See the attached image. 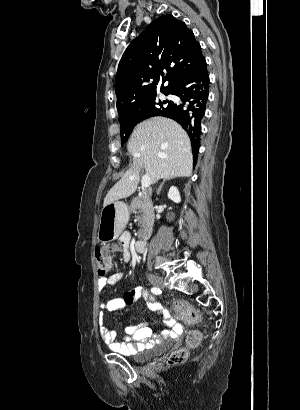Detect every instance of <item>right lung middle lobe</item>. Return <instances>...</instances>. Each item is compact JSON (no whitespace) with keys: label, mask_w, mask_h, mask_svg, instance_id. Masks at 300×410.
Wrapping results in <instances>:
<instances>
[{"label":"right lung middle lobe","mask_w":300,"mask_h":410,"mask_svg":"<svg viewBox=\"0 0 300 410\" xmlns=\"http://www.w3.org/2000/svg\"><path fill=\"white\" fill-rule=\"evenodd\" d=\"M162 93L167 95L171 94V91H163ZM155 97L156 94L149 97L146 101H144V107L138 116L120 122L122 142L128 139L130 133L132 132L134 126L137 123L141 122L146 118L155 116L159 111L163 109V104H169L171 102L165 101L162 103L161 101H159L158 105L160 106V108H158L156 106Z\"/></svg>","instance_id":"obj_1"}]
</instances>
